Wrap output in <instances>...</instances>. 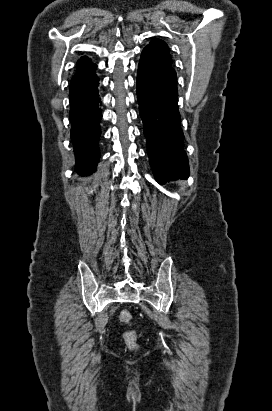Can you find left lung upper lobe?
<instances>
[{
    "mask_svg": "<svg viewBox=\"0 0 272 411\" xmlns=\"http://www.w3.org/2000/svg\"><path fill=\"white\" fill-rule=\"evenodd\" d=\"M146 49H150L154 53H156L159 57L163 60L167 61L168 63L172 64V58L169 53V48L167 44L162 41L161 39H153L149 45L145 47Z\"/></svg>",
    "mask_w": 272,
    "mask_h": 411,
    "instance_id": "obj_1",
    "label": "left lung upper lobe"
}]
</instances>
